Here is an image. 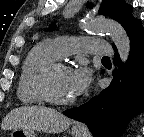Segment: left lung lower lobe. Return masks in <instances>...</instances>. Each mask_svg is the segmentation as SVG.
Segmentation results:
<instances>
[{"mask_svg":"<svg viewBox=\"0 0 144 137\" xmlns=\"http://www.w3.org/2000/svg\"><path fill=\"white\" fill-rule=\"evenodd\" d=\"M130 53L123 64L119 55L114 63L113 80L98 96L63 112L85 122L95 137H119L127 121L144 111V28L141 22L129 32ZM115 48V47H114Z\"/></svg>","mask_w":144,"mask_h":137,"instance_id":"obj_1","label":"left lung lower lobe"}]
</instances>
